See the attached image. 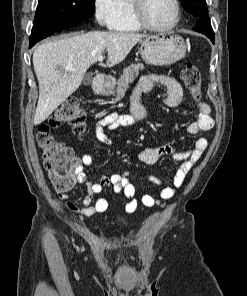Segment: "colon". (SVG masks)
Returning a JSON list of instances; mask_svg holds the SVG:
<instances>
[{"mask_svg": "<svg viewBox=\"0 0 247 296\" xmlns=\"http://www.w3.org/2000/svg\"><path fill=\"white\" fill-rule=\"evenodd\" d=\"M182 78L196 103L201 99V73L193 63L186 64ZM68 125L75 134H82L86 127V112L77 98H67L52 114L48 123L40 125L37 141L42 150L45 169L56 190L71 189L77 180L79 160L73 150L57 140L51 128Z\"/></svg>", "mask_w": 247, "mask_h": 296, "instance_id": "colon-1", "label": "colon"}]
</instances>
